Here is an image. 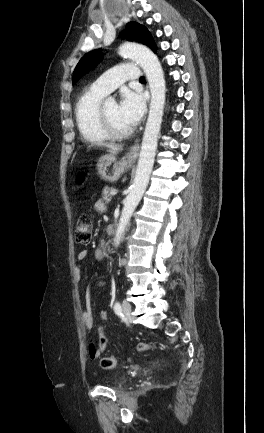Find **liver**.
Wrapping results in <instances>:
<instances>
[{
  "label": "liver",
  "instance_id": "obj_1",
  "mask_svg": "<svg viewBox=\"0 0 264 433\" xmlns=\"http://www.w3.org/2000/svg\"><path fill=\"white\" fill-rule=\"evenodd\" d=\"M98 146H103L109 149V152L112 155L117 154L118 152H120L122 150V146L121 145H117V144H113V143H98Z\"/></svg>",
  "mask_w": 264,
  "mask_h": 433
}]
</instances>
